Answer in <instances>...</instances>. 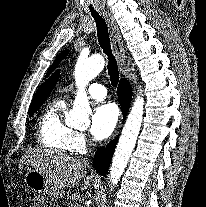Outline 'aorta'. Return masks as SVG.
Listing matches in <instances>:
<instances>
[{
    "label": "aorta",
    "mask_w": 206,
    "mask_h": 207,
    "mask_svg": "<svg viewBox=\"0 0 206 207\" xmlns=\"http://www.w3.org/2000/svg\"><path fill=\"white\" fill-rule=\"evenodd\" d=\"M104 66L105 60L100 54H95L89 58L80 57L78 59L75 67V80L78 92L73 103V108L66 117V123L79 126L89 121L91 109L85 92V86L103 70ZM143 110L144 99L137 96L122 129L112 159L110 182L113 185H116L119 181L134 150L142 124Z\"/></svg>",
    "instance_id": "aorta-1"
}]
</instances>
